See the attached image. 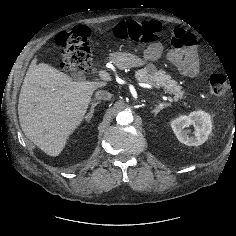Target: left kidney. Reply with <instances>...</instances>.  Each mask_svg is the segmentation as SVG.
Segmentation results:
<instances>
[{
	"label": "left kidney",
	"instance_id": "1",
	"mask_svg": "<svg viewBox=\"0 0 236 236\" xmlns=\"http://www.w3.org/2000/svg\"><path fill=\"white\" fill-rule=\"evenodd\" d=\"M190 126L194 127V132L188 129ZM171 127L181 143L199 146L208 139L212 131V119L208 113L198 110L172 120Z\"/></svg>",
	"mask_w": 236,
	"mask_h": 236
}]
</instances>
